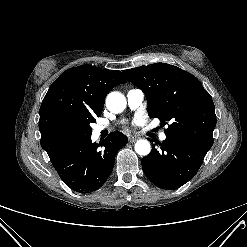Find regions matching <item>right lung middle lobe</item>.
Listing matches in <instances>:
<instances>
[{
  "label": "right lung middle lobe",
  "mask_w": 247,
  "mask_h": 247,
  "mask_svg": "<svg viewBox=\"0 0 247 247\" xmlns=\"http://www.w3.org/2000/svg\"><path fill=\"white\" fill-rule=\"evenodd\" d=\"M95 122L94 118L83 119L77 123L68 124L62 128V136L69 142L92 133L90 123Z\"/></svg>",
  "instance_id": "obj_1"
}]
</instances>
